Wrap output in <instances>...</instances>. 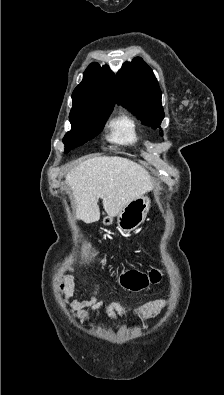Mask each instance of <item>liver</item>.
Here are the masks:
<instances>
[{"label":"liver","instance_id":"liver-1","mask_svg":"<svg viewBox=\"0 0 224 395\" xmlns=\"http://www.w3.org/2000/svg\"><path fill=\"white\" fill-rule=\"evenodd\" d=\"M76 218L85 223L100 219L98 200L116 216L129 202L154 187V179L139 164L119 156H100L79 163L66 175Z\"/></svg>","mask_w":224,"mask_h":395}]
</instances>
